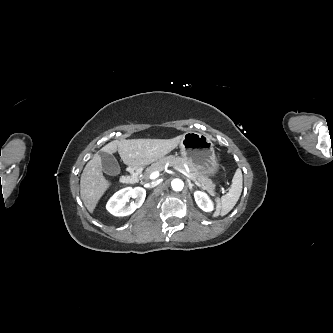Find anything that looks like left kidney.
Listing matches in <instances>:
<instances>
[{
  "label": "left kidney",
  "mask_w": 333,
  "mask_h": 333,
  "mask_svg": "<svg viewBox=\"0 0 333 333\" xmlns=\"http://www.w3.org/2000/svg\"><path fill=\"white\" fill-rule=\"evenodd\" d=\"M194 198L199 208L203 211L211 212L213 210V202L206 193L196 191L194 192Z\"/></svg>",
  "instance_id": "1"
}]
</instances>
